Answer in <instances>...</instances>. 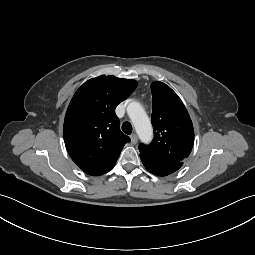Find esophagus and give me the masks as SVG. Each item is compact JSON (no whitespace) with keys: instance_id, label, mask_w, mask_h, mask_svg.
<instances>
[{"instance_id":"esophagus-1","label":"esophagus","mask_w":255,"mask_h":255,"mask_svg":"<svg viewBox=\"0 0 255 255\" xmlns=\"http://www.w3.org/2000/svg\"><path fill=\"white\" fill-rule=\"evenodd\" d=\"M130 138H131V143L132 144H136L137 143L138 138H137V135L135 133L131 134Z\"/></svg>"}]
</instances>
